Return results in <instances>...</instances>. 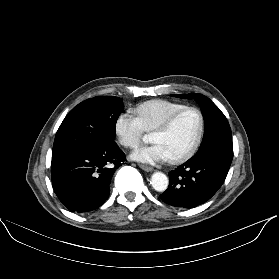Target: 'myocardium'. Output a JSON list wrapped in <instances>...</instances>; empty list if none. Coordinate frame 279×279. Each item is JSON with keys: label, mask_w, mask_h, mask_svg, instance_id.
<instances>
[{"label": "myocardium", "mask_w": 279, "mask_h": 279, "mask_svg": "<svg viewBox=\"0 0 279 279\" xmlns=\"http://www.w3.org/2000/svg\"><path fill=\"white\" fill-rule=\"evenodd\" d=\"M186 111H193L194 113H196V115L198 117L197 133H196V136H195L194 141L192 142L191 146L184 153H182L181 155L169 158V160L172 163L184 162L187 159H189L196 152V150L201 142L203 131H204V117H203L202 112L196 107L184 106V107L176 110L175 112L171 113L158 127H156L153 130V133L167 132L170 129V127L172 126V124L174 123V121L176 120V118Z\"/></svg>", "instance_id": "f54148a6"}]
</instances>
